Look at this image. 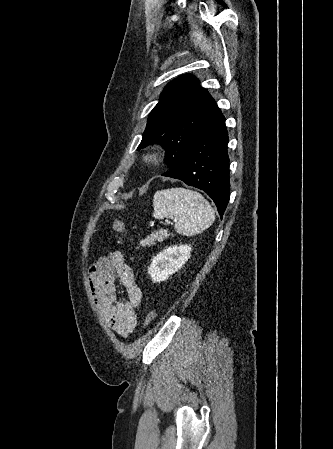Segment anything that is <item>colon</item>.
<instances>
[{
	"label": "colon",
	"instance_id": "colon-1",
	"mask_svg": "<svg viewBox=\"0 0 333 449\" xmlns=\"http://www.w3.org/2000/svg\"><path fill=\"white\" fill-rule=\"evenodd\" d=\"M113 228L116 232L118 233H124L126 230V226L124 224L123 221L119 220V219H115L113 222ZM158 304L157 301H154V307H152L151 309H149V311L147 312L145 319H144V326L148 327L150 325H152L154 323V321L157 318L158 315V311L156 308V305Z\"/></svg>",
	"mask_w": 333,
	"mask_h": 449
}]
</instances>
